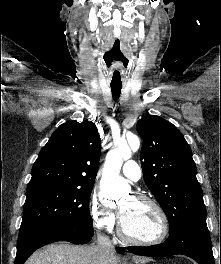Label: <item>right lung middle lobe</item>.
<instances>
[{
	"label": "right lung middle lobe",
	"instance_id": "obj_1",
	"mask_svg": "<svg viewBox=\"0 0 221 264\" xmlns=\"http://www.w3.org/2000/svg\"><path fill=\"white\" fill-rule=\"evenodd\" d=\"M92 188L49 185L27 190L19 233L35 228L92 227Z\"/></svg>",
	"mask_w": 221,
	"mask_h": 264
}]
</instances>
